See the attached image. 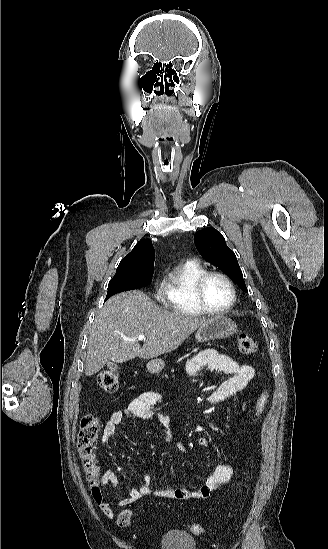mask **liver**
I'll return each instance as SVG.
<instances>
[{"mask_svg": "<svg viewBox=\"0 0 328 549\" xmlns=\"http://www.w3.org/2000/svg\"><path fill=\"white\" fill-rule=\"evenodd\" d=\"M209 319L190 317L158 307L142 291H126L111 297L96 313L89 333L86 377L95 375L106 363L132 359H154L171 353ZM145 335L140 347L137 339Z\"/></svg>", "mask_w": 328, "mask_h": 549, "instance_id": "obj_1", "label": "liver"}]
</instances>
